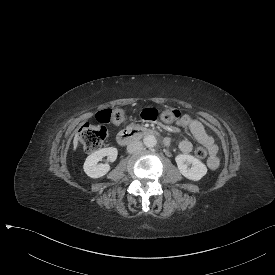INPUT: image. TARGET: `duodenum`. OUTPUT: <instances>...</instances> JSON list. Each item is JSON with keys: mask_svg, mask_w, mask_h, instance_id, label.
Returning a JSON list of instances; mask_svg holds the SVG:
<instances>
[{"mask_svg": "<svg viewBox=\"0 0 275 275\" xmlns=\"http://www.w3.org/2000/svg\"><path fill=\"white\" fill-rule=\"evenodd\" d=\"M157 132L152 128L135 127L125 129L117 134L116 141L120 145H127L142 137L155 135Z\"/></svg>", "mask_w": 275, "mask_h": 275, "instance_id": "1", "label": "duodenum"}]
</instances>
